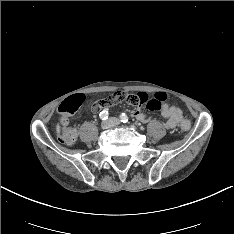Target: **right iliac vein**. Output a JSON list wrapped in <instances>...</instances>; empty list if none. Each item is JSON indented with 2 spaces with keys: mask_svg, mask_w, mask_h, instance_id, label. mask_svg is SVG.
Returning <instances> with one entry per match:
<instances>
[{
  "mask_svg": "<svg viewBox=\"0 0 234 234\" xmlns=\"http://www.w3.org/2000/svg\"><path fill=\"white\" fill-rule=\"evenodd\" d=\"M101 126L103 129H108L112 126V124H111L110 120H107V121L102 122Z\"/></svg>",
  "mask_w": 234,
  "mask_h": 234,
  "instance_id": "obj_1",
  "label": "right iliac vein"
}]
</instances>
